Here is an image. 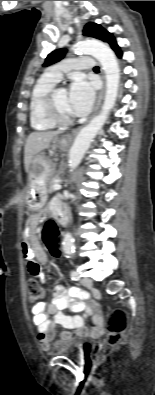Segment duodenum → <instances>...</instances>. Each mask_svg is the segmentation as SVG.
<instances>
[{
	"mask_svg": "<svg viewBox=\"0 0 155 395\" xmlns=\"http://www.w3.org/2000/svg\"><path fill=\"white\" fill-rule=\"evenodd\" d=\"M55 216H56V219H57L58 223H60V224L67 223L68 216H67V212L65 211L64 208L58 209L57 212L55 213Z\"/></svg>",
	"mask_w": 155,
	"mask_h": 395,
	"instance_id": "obj_1",
	"label": "duodenum"
}]
</instances>
